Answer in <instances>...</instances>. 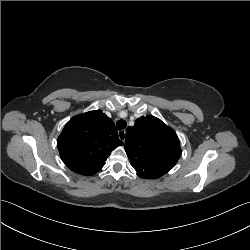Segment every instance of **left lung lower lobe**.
<instances>
[{"instance_id": "obj_1", "label": "left lung lower lobe", "mask_w": 250, "mask_h": 250, "mask_svg": "<svg viewBox=\"0 0 250 250\" xmlns=\"http://www.w3.org/2000/svg\"><path fill=\"white\" fill-rule=\"evenodd\" d=\"M153 175H154V174L151 172L150 175H147L146 178H151V179H152V178H154Z\"/></svg>"}]
</instances>
